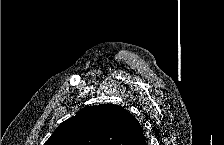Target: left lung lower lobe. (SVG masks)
Segmentation results:
<instances>
[{
	"label": "left lung lower lobe",
	"mask_w": 224,
	"mask_h": 145,
	"mask_svg": "<svg viewBox=\"0 0 224 145\" xmlns=\"http://www.w3.org/2000/svg\"><path fill=\"white\" fill-rule=\"evenodd\" d=\"M137 145H146V140H145L144 135H143V137L141 138V140L138 142Z\"/></svg>",
	"instance_id": "1"
}]
</instances>
